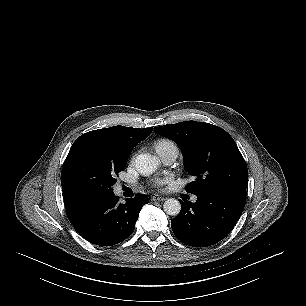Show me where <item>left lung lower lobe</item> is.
Masks as SVG:
<instances>
[{"instance_id":"obj_1","label":"left lung lower lobe","mask_w":306,"mask_h":306,"mask_svg":"<svg viewBox=\"0 0 306 306\" xmlns=\"http://www.w3.org/2000/svg\"><path fill=\"white\" fill-rule=\"evenodd\" d=\"M181 202L171 220L175 236L193 247H205L224 239L239 220L246 198L230 193L197 195V201Z\"/></svg>"}]
</instances>
